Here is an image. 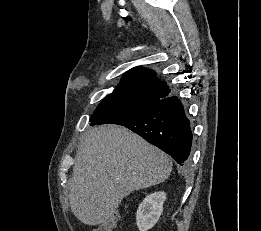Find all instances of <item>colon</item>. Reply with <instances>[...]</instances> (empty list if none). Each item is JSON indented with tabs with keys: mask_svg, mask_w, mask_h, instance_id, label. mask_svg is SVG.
Returning <instances> with one entry per match:
<instances>
[{
	"mask_svg": "<svg viewBox=\"0 0 261 231\" xmlns=\"http://www.w3.org/2000/svg\"><path fill=\"white\" fill-rule=\"evenodd\" d=\"M119 218V213L117 210L111 211L108 218L105 219L102 223L93 227L91 231H112L115 223Z\"/></svg>",
	"mask_w": 261,
	"mask_h": 231,
	"instance_id": "1",
	"label": "colon"
}]
</instances>
